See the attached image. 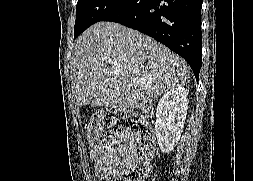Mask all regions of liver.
<instances>
[{
  "instance_id": "liver-1",
  "label": "liver",
  "mask_w": 253,
  "mask_h": 181,
  "mask_svg": "<svg viewBox=\"0 0 253 181\" xmlns=\"http://www.w3.org/2000/svg\"><path fill=\"white\" fill-rule=\"evenodd\" d=\"M189 78L182 58L118 23L92 25L76 40L72 52V91L80 106L139 109Z\"/></svg>"
}]
</instances>
